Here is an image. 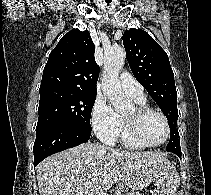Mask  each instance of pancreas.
<instances>
[{"label":"pancreas","instance_id":"pancreas-1","mask_svg":"<svg viewBox=\"0 0 211 195\" xmlns=\"http://www.w3.org/2000/svg\"><path fill=\"white\" fill-rule=\"evenodd\" d=\"M129 195H141V194H139L138 192H132Z\"/></svg>","mask_w":211,"mask_h":195}]
</instances>
